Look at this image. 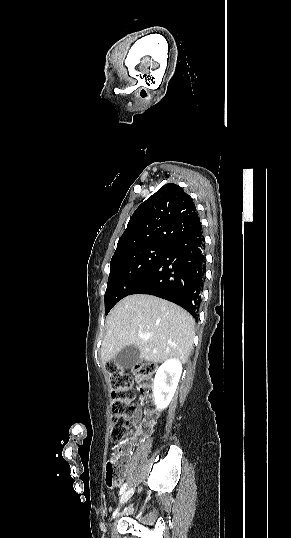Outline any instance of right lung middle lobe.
I'll return each mask as SVG.
<instances>
[{
    "label": "right lung middle lobe",
    "mask_w": 291,
    "mask_h": 538,
    "mask_svg": "<svg viewBox=\"0 0 291 538\" xmlns=\"http://www.w3.org/2000/svg\"><path fill=\"white\" fill-rule=\"evenodd\" d=\"M170 246L150 245L134 249L111 259L105 292V314L148 275Z\"/></svg>",
    "instance_id": "dd1d6c3e"
}]
</instances>
